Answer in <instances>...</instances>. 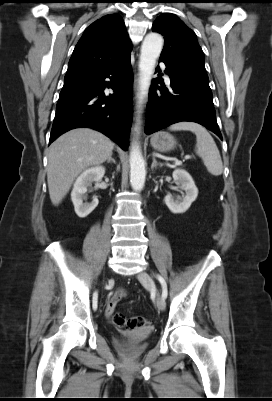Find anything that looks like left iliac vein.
I'll return each mask as SVG.
<instances>
[{
	"mask_svg": "<svg viewBox=\"0 0 272 401\" xmlns=\"http://www.w3.org/2000/svg\"><path fill=\"white\" fill-rule=\"evenodd\" d=\"M138 279H139V281H140L145 287L149 288L150 290H152V291L155 293V296H156V300H155L156 306H157V308H158L159 310L164 311V310H165V307H166L165 301H164V299L162 298V296L157 292V290H156V288H155V285H154V282H153L151 276H150L147 272L142 271V272H140V273L138 274Z\"/></svg>",
	"mask_w": 272,
	"mask_h": 401,
	"instance_id": "1",
	"label": "left iliac vein"
}]
</instances>
